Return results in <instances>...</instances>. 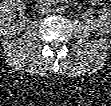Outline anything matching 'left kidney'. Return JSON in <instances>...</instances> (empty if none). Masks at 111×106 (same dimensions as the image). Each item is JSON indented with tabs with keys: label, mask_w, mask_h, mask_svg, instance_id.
I'll use <instances>...</instances> for the list:
<instances>
[{
	"label": "left kidney",
	"mask_w": 111,
	"mask_h": 106,
	"mask_svg": "<svg viewBox=\"0 0 111 106\" xmlns=\"http://www.w3.org/2000/svg\"><path fill=\"white\" fill-rule=\"evenodd\" d=\"M103 15L91 22V28L101 33L111 32V9H103Z\"/></svg>",
	"instance_id": "1"
}]
</instances>
